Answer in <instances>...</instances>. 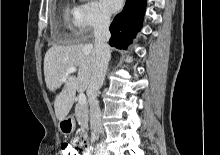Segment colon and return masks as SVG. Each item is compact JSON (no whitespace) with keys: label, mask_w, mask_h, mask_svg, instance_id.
Wrapping results in <instances>:
<instances>
[{"label":"colon","mask_w":220,"mask_h":155,"mask_svg":"<svg viewBox=\"0 0 220 155\" xmlns=\"http://www.w3.org/2000/svg\"><path fill=\"white\" fill-rule=\"evenodd\" d=\"M87 145H61V150L63 155H81V151Z\"/></svg>","instance_id":"5ec220e1"}]
</instances>
